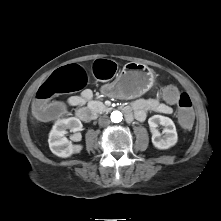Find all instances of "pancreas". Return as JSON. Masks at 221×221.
Instances as JSON below:
<instances>
[{
  "instance_id": "obj_1",
  "label": "pancreas",
  "mask_w": 221,
  "mask_h": 221,
  "mask_svg": "<svg viewBox=\"0 0 221 221\" xmlns=\"http://www.w3.org/2000/svg\"><path fill=\"white\" fill-rule=\"evenodd\" d=\"M89 107L95 113H100L107 110V107L100 101H90Z\"/></svg>"
}]
</instances>
